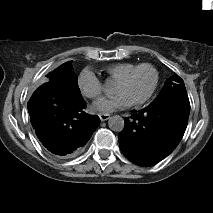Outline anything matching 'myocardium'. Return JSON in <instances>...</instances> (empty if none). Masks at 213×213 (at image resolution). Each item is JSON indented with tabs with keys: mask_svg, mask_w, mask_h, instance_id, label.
Here are the masks:
<instances>
[{
	"mask_svg": "<svg viewBox=\"0 0 213 213\" xmlns=\"http://www.w3.org/2000/svg\"><path fill=\"white\" fill-rule=\"evenodd\" d=\"M143 70H148L151 72V74L153 76L152 83L146 94H144L143 96H141L137 99L130 100V104H132V105L143 104L152 96V94L154 93V91L156 89L157 83H158L157 70L149 64H142V65H139L138 67L134 68L133 70H131L127 75L123 76L121 79H119L116 82L117 84H125V83L129 82L137 73H139L140 71H143Z\"/></svg>",
	"mask_w": 213,
	"mask_h": 213,
	"instance_id": "f54148a6",
	"label": "myocardium"
}]
</instances>
